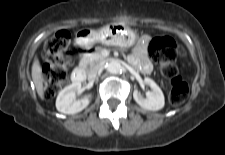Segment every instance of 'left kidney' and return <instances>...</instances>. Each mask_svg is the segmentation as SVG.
Returning <instances> with one entry per match:
<instances>
[{
	"label": "left kidney",
	"mask_w": 225,
	"mask_h": 155,
	"mask_svg": "<svg viewBox=\"0 0 225 155\" xmlns=\"http://www.w3.org/2000/svg\"><path fill=\"white\" fill-rule=\"evenodd\" d=\"M144 82L151 88V91L146 92V98H143L140 92H133L134 100L144 109L157 111L164 107L165 99L162 90L150 78H145Z\"/></svg>",
	"instance_id": "1"
}]
</instances>
